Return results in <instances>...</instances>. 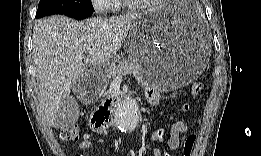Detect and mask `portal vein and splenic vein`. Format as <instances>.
Returning <instances> with one entry per match:
<instances>
[{
  "label": "portal vein and splenic vein",
  "mask_w": 261,
  "mask_h": 156,
  "mask_svg": "<svg viewBox=\"0 0 261 156\" xmlns=\"http://www.w3.org/2000/svg\"><path fill=\"white\" fill-rule=\"evenodd\" d=\"M84 57H85L84 54H81V55L79 56L80 59H84Z\"/></svg>",
  "instance_id": "18ae733b"
}]
</instances>
